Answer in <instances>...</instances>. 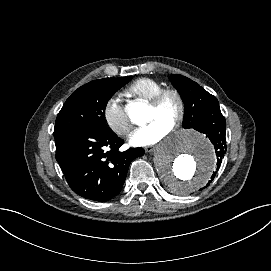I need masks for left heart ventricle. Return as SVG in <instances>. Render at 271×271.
<instances>
[{"label":"left heart ventricle","instance_id":"obj_1","mask_svg":"<svg viewBox=\"0 0 271 271\" xmlns=\"http://www.w3.org/2000/svg\"><path fill=\"white\" fill-rule=\"evenodd\" d=\"M179 112L178 100L170 95L165 99L163 108L161 111H157L151 106L148 109L147 123L159 120L169 126H171L174 117Z\"/></svg>","mask_w":271,"mask_h":271}]
</instances>
